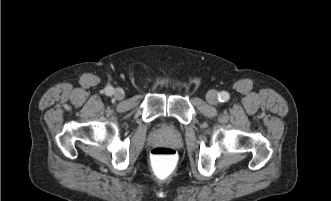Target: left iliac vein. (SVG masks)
Segmentation results:
<instances>
[{"label": "left iliac vein", "instance_id": "obj_1", "mask_svg": "<svg viewBox=\"0 0 331 201\" xmlns=\"http://www.w3.org/2000/svg\"><path fill=\"white\" fill-rule=\"evenodd\" d=\"M206 99H207V102L211 105L217 104V102H218L217 91H215V90L208 91V93L206 95Z\"/></svg>", "mask_w": 331, "mask_h": 201}]
</instances>
